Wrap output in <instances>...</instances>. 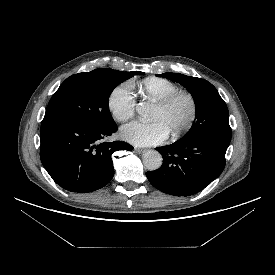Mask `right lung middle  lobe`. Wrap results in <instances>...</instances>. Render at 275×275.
Segmentation results:
<instances>
[{"label":"right lung middle lobe","instance_id":"1","mask_svg":"<svg viewBox=\"0 0 275 275\" xmlns=\"http://www.w3.org/2000/svg\"><path fill=\"white\" fill-rule=\"evenodd\" d=\"M143 72H121L99 68L67 78L52 96L44 120L68 118L102 126L115 124L109 97L121 82Z\"/></svg>","mask_w":275,"mask_h":275}]
</instances>
